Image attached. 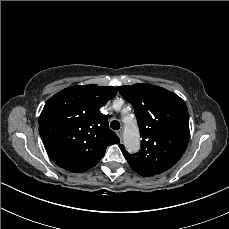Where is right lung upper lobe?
Masks as SVG:
<instances>
[{"label": "right lung upper lobe", "mask_w": 229, "mask_h": 229, "mask_svg": "<svg viewBox=\"0 0 229 229\" xmlns=\"http://www.w3.org/2000/svg\"><path fill=\"white\" fill-rule=\"evenodd\" d=\"M117 93L115 87L72 86L52 96L39 117V133L49 157L61 168L85 172L118 144L100 108Z\"/></svg>", "instance_id": "obj_1"}]
</instances>
